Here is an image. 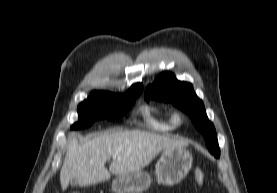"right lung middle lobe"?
Segmentation results:
<instances>
[{
  "mask_svg": "<svg viewBox=\"0 0 277 193\" xmlns=\"http://www.w3.org/2000/svg\"><path fill=\"white\" fill-rule=\"evenodd\" d=\"M139 93L132 94H105L92 92L87 100L78 105V122L71 129H84L96 120H114L130 109Z\"/></svg>",
  "mask_w": 277,
  "mask_h": 193,
  "instance_id": "right-lung-middle-lobe-1",
  "label": "right lung middle lobe"
}]
</instances>
